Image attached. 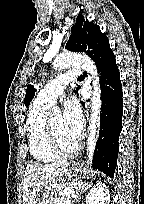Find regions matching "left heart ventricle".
Listing matches in <instances>:
<instances>
[{
  "label": "left heart ventricle",
  "mask_w": 144,
  "mask_h": 204,
  "mask_svg": "<svg viewBox=\"0 0 144 204\" xmlns=\"http://www.w3.org/2000/svg\"><path fill=\"white\" fill-rule=\"evenodd\" d=\"M51 123L60 144L64 148H67V149L71 148L77 140L72 138L66 131L62 116L61 115L54 116L51 119Z\"/></svg>",
  "instance_id": "left-heart-ventricle-1"
}]
</instances>
